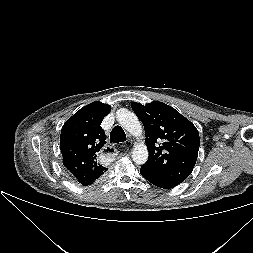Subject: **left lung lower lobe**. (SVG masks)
Masks as SVG:
<instances>
[{
    "label": "left lung lower lobe",
    "mask_w": 253,
    "mask_h": 253,
    "mask_svg": "<svg viewBox=\"0 0 253 253\" xmlns=\"http://www.w3.org/2000/svg\"><path fill=\"white\" fill-rule=\"evenodd\" d=\"M140 173L150 183H152L153 185L160 187V188L170 189V188H173L178 185L177 183H174L172 181H169V180H166V179L161 178L159 176H156L153 173H150L149 171L145 170L142 167L140 169Z\"/></svg>",
    "instance_id": "1"
}]
</instances>
